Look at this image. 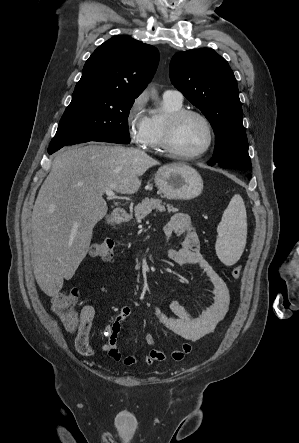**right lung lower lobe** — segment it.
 Segmentation results:
<instances>
[{"instance_id": "98d812e1", "label": "right lung lower lobe", "mask_w": 299, "mask_h": 443, "mask_svg": "<svg viewBox=\"0 0 299 443\" xmlns=\"http://www.w3.org/2000/svg\"><path fill=\"white\" fill-rule=\"evenodd\" d=\"M88 141L111 142V143H119V144L124 143V142H122L116 138H112V137H94V138H90V139L80 140V141H77L73 144L84 143V142H88ZM73 144H71V145H73ZM60 148H62V147H49L48 153L52 154L55 151L59 150Z\"/></svg>"}]
</instances>
